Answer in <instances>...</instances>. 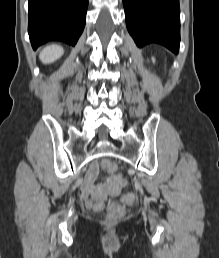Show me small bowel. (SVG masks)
Returning <instances> with one entry per match:
<instances>
[{
  "label": "small bowel",
  "instance_id": "obj_1",
  "mask_svg": "<svg viewBox=\"0 0 219 258\" xmlns=\"http://www.w3.org/2000/svg\"><path fill=\"white\" fill-rule=\"evenodd\" d=\"M98 174V167L93 166L83 184V189L85 193H89L93 187L94 180ZM114 178H117V175H114ZM119 178H122V175H119ZM129 179H110V184L113 189H118L121 184H129Z\"/></svg>",
  "mask_w": 219,
  "mask_h": 258
}]
</instances>
